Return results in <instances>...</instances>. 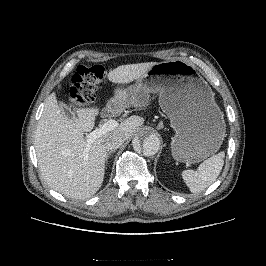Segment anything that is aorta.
Here are the masks:
<instances>
[{
  "label": "aorta",
  "mask_w": 266,
  "mask_h": 266,
  "mask_svg": "<svg viewBox=\"0 0 266 266\" xmlns=\"http://www.w3.org/2000/svg\"><path fill=\"white\" fill-rule=\"evenodd\" d=\"M160 144L158 135L146 129L139 133L137 139L133 143V147L135 149L141 148L145 156H153L159 151Z\"/></svg>",
  "instance_id": "762f6f07"
}]
</instances>
